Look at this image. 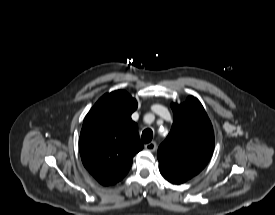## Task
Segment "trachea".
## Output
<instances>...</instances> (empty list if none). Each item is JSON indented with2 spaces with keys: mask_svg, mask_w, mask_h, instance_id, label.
Here are the masks:
<instances>
[{
  "mask_svg": "<svg viewBox=\"0 0 275 215\" xmlns=\"http://www.w3.org/2000/svg\"><path fill=\"white\" fill-rule=\"evenodd\" d=\"M152 137H153V132H152V130H151V129H145V130L142 132L141 141H142L143 143H149V142H151Z\"/></svg>",
  "mask_w": 275,
  "mask_h": 215,
  "instance_id": "obj_1",
  "label": "trachea"
}]
</instances>
